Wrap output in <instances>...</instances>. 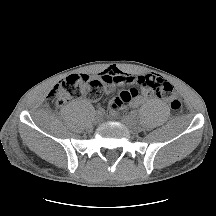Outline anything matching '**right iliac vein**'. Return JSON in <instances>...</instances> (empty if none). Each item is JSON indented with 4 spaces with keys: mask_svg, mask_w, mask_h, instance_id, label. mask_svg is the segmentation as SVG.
I'll return each instance as SVG.
<instances>
[{
    "mask_svg": "<svg viewBox=\"0 0 216 216\" xmlns=\"http://www.w3.org/2000/svg\"><path fill=\"white\" fill-rule=\"evenodd\" d=\"M101 121H102V116H100V115H96L95 117H94V123L95 124H99V123H101Z\"/></svg>",
    "mask_w": 216,
    "mask_h": 216,
    "instance_id": "obj_1",
    "label": "right iliac vein"
}]
</instances>
